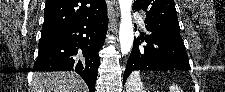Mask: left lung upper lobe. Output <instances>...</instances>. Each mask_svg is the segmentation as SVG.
<instances>
[{
	"instance_id": "5c2ea615",
	"label": "left lung upper lobe",
	"mask_w": 225,
	"mask_h": 92,
	"mask_svg": "<svg viewBox=\"0 0 225 92\" xmlns=\"http://www.w3.org/2000/svg\"><path fill=\"white\" fill-rule=\"evenodd\" d=\"M133 10L146 12L145 24L166 26L180 33L173 0H136L133 4Z\"/></svg>"
}]
</instances>
